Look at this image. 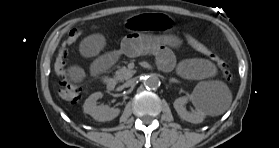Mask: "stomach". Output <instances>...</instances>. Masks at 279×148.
I'll return each mask as SVG.
<instances>
[{"instance_id": "obj_1", "label": "stomach", "mask_w": 279, "mask_h": 148, "mask_svg": "<svg viewBox=\"0 0 279 148\" xmlns=\"http://www.w3.org/2000/svg\"><path fill=\"white\" fill-rule=\"evenodd\" d=\"M128 30L137 36L143 34L168 37L180 29L181 22L177 16L168 14H151L136 12L126 22Z\"/></svg>"}]
</instances>
